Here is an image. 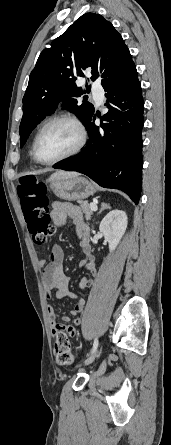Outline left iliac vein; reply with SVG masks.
<instances>
[{
  "instance_id": "obj_1",
  "label": "left iliac vein",
  "mask_w": 171,
  "mask_h": 445,
  "mask_svg": "<svg viewBox=\"0 0 171 445\" xmlns=\"http://www.w3.org/2000/svg\"><path fill=\"white\" fill-rule=\"evenodd\" d=\"M101 353L100 349H97L94 353L90 354L88 356V358L83 362V365H89L90 363H92L95 358Z\"/></svg>"
}]
</instances>
